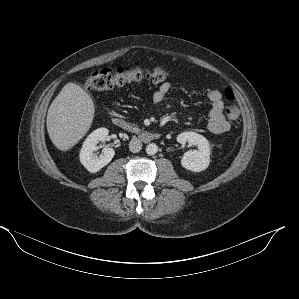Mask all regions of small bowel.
Masks as SVG:
<instances>
[{"instance_id":"c3829d8e","label":"small bowel","mask_w":299,"mask_h":299,"mask_svg":"<svg viewBox=\"0 0 299 299\" xmlns=\"http://www.w3.org/2000/svg\"><path fill=\"white\" fill-rule=\"evenodd\" d=\"M171 89L168 82L162 83L151 95L154 103L158 104L163 102ZM143 88H141V91ZM207 97L211 103L208 130L213 134H224L230 129V124L223 114L224 104L222 102L221 92L218 90H209Z\"/></svg>"}]
</instances>
